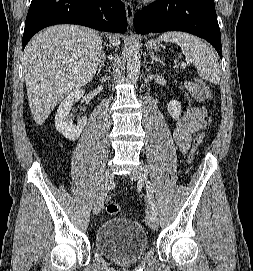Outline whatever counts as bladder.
<instances>
[{
	"mask_svg": "<svg viewBox=\"0 0 253 271\" xmlns=\"http://www.w3.org/2000/svg\"><path fill=\"white\" fill-rule=\"evenodd\" d=\"M94 240L97 250L115 262L137 260L149 245L143 226L130 218H114L102 223Z\"/></svg>",
	"mask_w": 253,
	"mask_h": 271,
	"instance_id": "bladder-1",
	"label": "bladder"
}]
</instances>
